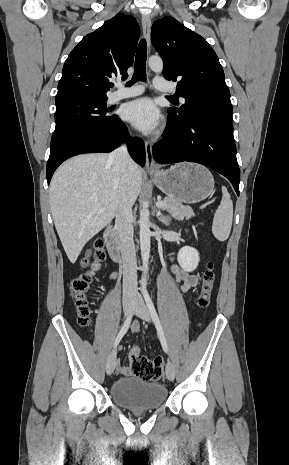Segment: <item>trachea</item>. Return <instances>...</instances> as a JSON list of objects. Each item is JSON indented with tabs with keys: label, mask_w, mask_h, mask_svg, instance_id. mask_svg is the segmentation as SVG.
<instances>
[{
	"label": "trachea",
	"mask_w": 289,
	"mask_h": 465,
	"mask_svg": "<svg viewBox=\"0 0 289 465\" xmlns=\"http://www.w3.org/2000/svg\"><path fill=\"white\" fill-rule=\"evenodd\" d=\"M146 58L147 44L146 41L142 39L138 45V49L136 52L134 74L132 80L127 83L128 86L134 84L137 81H146ZM170 98L174 99L173 96H170Z\"/></svg>",
	"instance_id": "trachea-1"
}]
</instances>
